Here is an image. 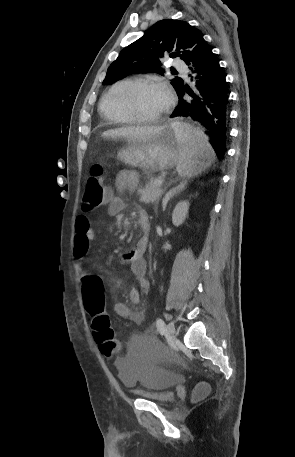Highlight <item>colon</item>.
I'll return each mask as SVG.
<instances>
[{
  "label": "colon",
  "mask_w": 295,
  "mask_h": 457,
  "mask_svg": "<svg viewBox=\"0 0 295 457\" xmlns=\"http://www.w3.org/2000/svg\"><path fill=\"white\" fill-rule=\"evenodd\" d=\"M103 173V167L100 164H94L91 167L82 201L84 211H92L109 201L111 193L105 185ZM83 294L94 337L100 350L105 356H112L116 361L120 360L121 346L113 339V330L104 307L102 277L89 278L83 285ZM204 391V387H199L196 393L200 395Z\"/></svg>",
  "instance_id": "colon-1"
}]
</instances>
